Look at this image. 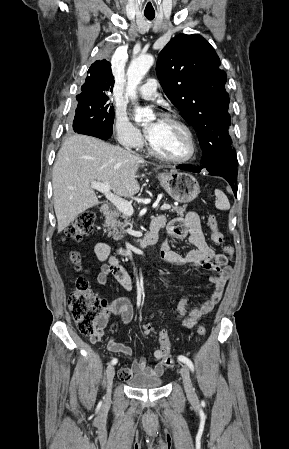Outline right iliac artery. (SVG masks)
Returning a JSON list of instances; mask_svg holds the SVG:
<instances>
[{"label":"right iliac artery","mask_w":289,"mask_h":449,"mask_svg":"<svg viewBox=\"0 0 289 449\" xmlns=\"http://www.w3.org/2000/svg\"><path fill=\"white\" fill-rule=\"evenodd\" d=\"M116 363H117V359L116 358L111 360V364L115 365Z\"/></svg>","instance_id":"right-iliac-artery-1"}]
</instances>
